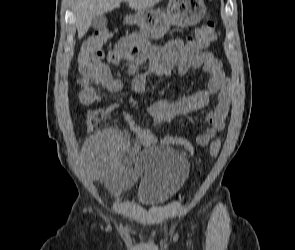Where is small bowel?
I'll use <instances>...</instances> for the list:
<instances>
[{"label": "small bowel", "mask_w": 295, "mask_h": 250, "mask_svg": "<svg viewBox=\"0 0 295 250\" xmlns=\"http://www.w3.org/2000/svg\"><path fill=\"white\" fill-rule=\"evenodd\" d=\"M127 61L129 74L132 77L130 89L137 94L142 93L146 83V74L169 77L177 68L180 75L192 69H203L209 75V83L205 90L180 99H158L149 105L148 112L153 123L165 122L179 117H191V114L210 105L211 97L217 99L212 111L207 113L206 122L209 127L198 133L196 143L205 147L225 128L231 103V92L222 63L210 52L202 49L192 37L175 38L164 46L155 47L139 33L121 38L115 46L104 53L99 49L92 62L90 71H81L77 80L79 101L86 106L101 101V89L109 92H120L125 82L115 78L107 63L120 65ZM148 62L145 73H139L140 66ZM118 108L111 105L105 111L110 113ZM132 136L142 146L152 147L156 144L179 146L187 154L193 152L192 143L183 137L164 136L158 138L150 128L139 126L126 112H123ZM126 134L116 129H105L88 138L82 148L84 170L96 181L103 182L110 190L120 192L130 187L140 176L138 167L124 169L119 159L127 151L134 156L139 146L129 147Z\"/></svg>", "instance_id": "1"}]
</instances>
